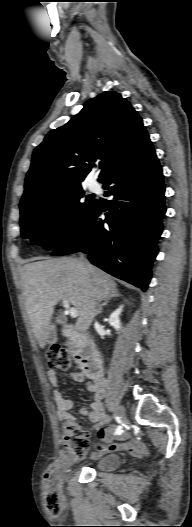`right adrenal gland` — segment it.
<instances>
[{"label":"right adrenal gland","instance_id":"1","mask_svg":"<svg viewBox=\"0 0 192 527\" xmlns=\"http://www.w3.org/2000/svg\"><path fill=\"white\" fill-rule=\"evenodd\" d=\"M120 296H121V294H120L118 291H116V292L110 294L107 298H105V299L103 300L102 303H100V304L98 305V309H97L96 314H97V315L101 314L102 311H103V307L107 306L108 303H109V301H110L111 299L116 298V297H120Z\"/></svg>","mask_w":192,"mask_h":527}]
</instances>
